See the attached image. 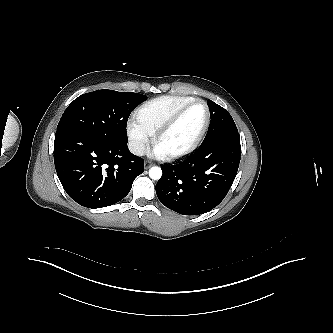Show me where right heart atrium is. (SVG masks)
Segmentation results:
<instances>
[{
    "label": "right heart atrium",
    "mask_w": 333,
    "mask_h": 333,
    "mask_svg": "<svg viewBox=\"0 0 333 333\" xmlns=\"http://www.w3.org/2000/svg\"><path fill=\"white\" fill-rule=\"evenodd\" d=\"M126 131L131 151L136 155L143 154L149 144L151 134L136 118L127 121Z\"/></svg>",
    "instance_id": "d8ad5b80"
}]
</instances>
